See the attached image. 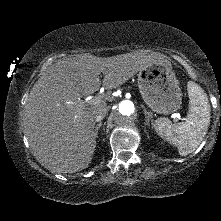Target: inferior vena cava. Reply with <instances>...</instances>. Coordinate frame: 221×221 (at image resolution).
Masks as SVG:
<instances>
[{
  "instance_id": "1",
  "label": "inferior vena cava",
  "mask_w": 221,
  "mask_h": 221,
  "mask_svg": "<svg viewBox=\"0 0 221 221\" xmlns=\"http://www.w3.org/2000/svg\"><path fill=\"white\" fill-rule=\"evenodd\" d=\"M108 110H109V109H108L107 107L102 108V109L99 111V113L96 115L95 121H96V122L101 121V120L106 116Z\"/></svg>"
}]
</instances>
